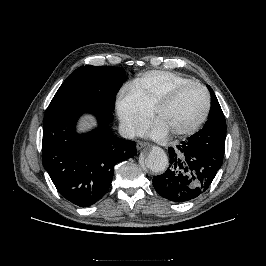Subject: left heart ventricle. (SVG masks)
Masks as SVG:
<instances>
[{
	"label": "left heart ventricle",
	"instance_id": "1",
	"mask_svg": "<svg viewBox=\"0 0 266 266\" xmlns=\"http://www.w3.org/2000/svg\"><path fill=\"white\" fill-rule=\"evenodd\" d=\"M205 106L204 92L200 88L190 87L165 107L156 120L172 133L194 124L203 114Z\"/></svg>",
	"mask_w": 266,
	"mask_h": 266
}]
</instances>
